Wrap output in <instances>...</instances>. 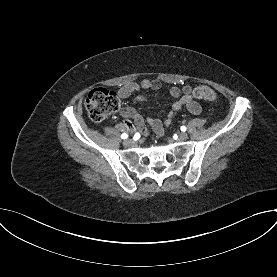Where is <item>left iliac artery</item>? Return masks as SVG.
<instances>
[{
    "label": "left iliac artery",
    "mask_w": 277,
    "mask_h": 277,
    "mask_svg": "<svg viewBox=\"0 0 277 277\" xmlns=\"http://www.w3.org/2000/svg\"><path fill=\"white\" fill-rule=\"evenodd\" d=\"M181 131H183V132L186 131V127H185V126H182V127H181Z\"/></svg>",
    "instance_id": "obj_1"
}]
</instances>
